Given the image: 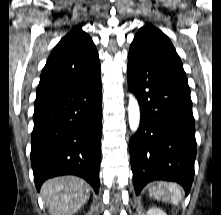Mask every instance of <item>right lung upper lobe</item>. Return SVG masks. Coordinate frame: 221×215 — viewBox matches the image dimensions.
<instances>
[{"label":"right lung upper lobe","instance_id":"cb5924a9","mask_svg":"<svg viewBox=\"0 0 221 215\" xmlns=\"http://www.w3.org/2000/svg\"><path fill=\"white\" fill-rule=\"evenodd\" d=\"M99 72V57L91 37L81 27H75L50 54L41 73L35 102L86 81Z\"/></svg>","mask_w":221,"mask_h":215}]
</instances>
